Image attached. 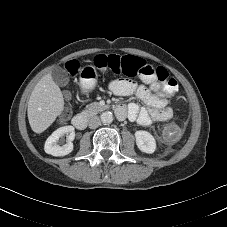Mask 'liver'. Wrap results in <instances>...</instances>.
I'll return each instance as SVG.
<instances>
[{
    "label": "liver",
    "instance_id": "6515ba94",
    "mask_svg": "<svg viewBox=\"0 0 227 227\" xmlns=\"http://www.w3.org/2000/svg\"><path fill=\"white\" fill-rule=\"evenodd\" d=\"M63 108V94L49 72L35 85L28 101L27 114L31 129L38 134L44 132Z\"/></svg>",
    "mask_w": 227,
    "mask_h": 227
}]
</instances>
